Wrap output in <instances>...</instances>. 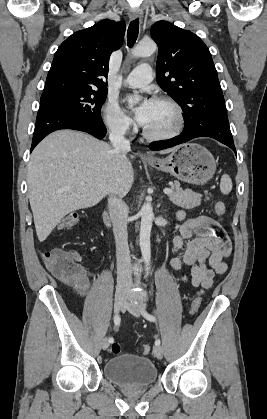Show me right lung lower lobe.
Here are the masks:
<instances>
[{"label":"right lung lower lobe","mask_w":267,"mask_h":419,"mask_svg":"<svg viewBox=\"0 0 267 419\" xmlns=\"http://www.w3.org/2000/svg\"><path fill=\"white\" fill-rule=\"evenodd\" d=\"M60 129L87 132L98 139L104 138L107 132L103 121H88L57 105L41 103L37 114L31 151L45 136Z\"/></svg>","instance_id":"right-lung-lower-lobe-1"}]
</instances>
